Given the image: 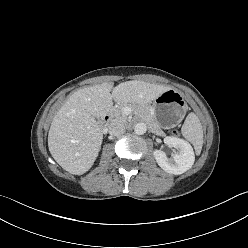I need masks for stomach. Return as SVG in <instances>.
Masks as SVG:
<instances>
[{
  "label": "stomach",
  "mask_w": 248,
  "mask_h": 248,
  "mask_svg": "<svg viewBox=\"0 0 248 248\" xmlns=\"http://www.w3.org/2000/svg\"><path fill=\"white\" fill-rule=\"evenodd\" d=\"M186 109L182 94L175 89H169L153 101V119L162 128H172L183 119Z\"/></svg>",
  "instance_id": "obj_1"
}]
</instances>
